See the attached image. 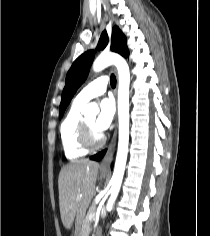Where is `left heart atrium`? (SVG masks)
Returning <instances> with one entry per match:
<instances>
[{
    "label": "left heart atrium",
    "mask_w": 210,
    "mask_h": 236,
    "mask_svg": "<svg viewBox=\"0 0 210 236\" xmlns=\"http://www.w3.org/2000/svg\"><path fill=\"white\" fill-rule=\"evenodd\" d=\"M114 103L111 99H104L100 103V111L98 117L95 120L94 126L95 129L102 134L107 130L113 121L114 117Z\"/></svg>",
    "instance_id": "left-heart-atrium-1"
}]
</instances>
